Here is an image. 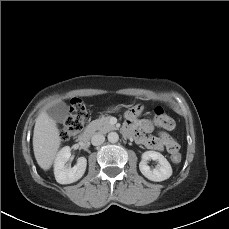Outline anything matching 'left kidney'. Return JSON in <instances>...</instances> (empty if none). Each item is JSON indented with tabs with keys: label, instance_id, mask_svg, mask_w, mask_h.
<instances>
[{
	"label": "left kidney",
	"instance_id": "obj_1",
	"mask_svg": "<svg viewBox=\"0 0 229 229\" xmlns=\"http://www.w3.org/2000/svg\"><path fill=\"white\" fill-rule=\"evenodd\" d=\"M150 159L158 161V167L151 169L147 164V161ZM139 169L146 178L155 182L166 180L172 175L170 163L161 153L156 151H146L142 154Z\"/></svg>",
	"mask_w": 229,
	"mask_h": 229
}]
</instances>
